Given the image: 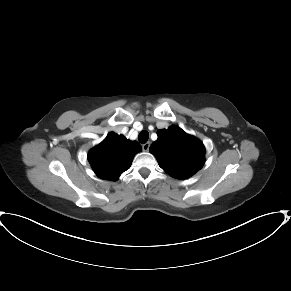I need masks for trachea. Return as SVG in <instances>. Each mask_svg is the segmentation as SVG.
<instances>
[{"mask_svg":"<svg viewBox=\"0 0 291 291\" xmlns=\"http://www.w3.org/2000/svg\"><path fill=\"white\" fill-rule=\"evenodd\" d=\"M148 138H149V133L146 130L141 131L138 136V140L141 144L146 143L148 141Z\"/></svg>","mask_w":291,"mask_h":291,"instance_id":"1","label":"trachea"}]
</instances>
